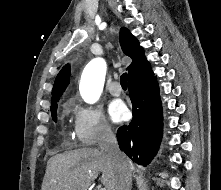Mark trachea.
<instances>
[{
  "label": "trachea",
  "mask_w": 221,
  "mask_h": 190,
  "mask_svg": "<svg viewBox=\"0 0 221 190\" xmlns=\"http://www.w3.org/2000/svg\"><path fill=\"white\" fill-rule=\"evenodd\" d=\"M127 73H124L120 77V84L123 89H127Z\"/></svg>",
  "instance_id": "3493384b"
}]
</instances>
